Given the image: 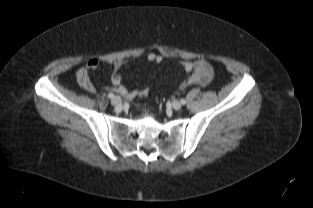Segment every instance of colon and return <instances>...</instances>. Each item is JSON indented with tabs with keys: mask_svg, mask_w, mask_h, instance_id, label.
I'll return each mask as SVG.
<instances>
[{
	"mask_svg": "<svg viewBox=\"0 0 313 208\" xmlns=\"http://www.w3.org/2000/svg\"><path fill=\"white\" fill-rule=\"evenodd\" d=\"M138 94H139L140 97L144 98V97H146L148 95V89H142V90L139 91Z\"/></svg>",
	"mask_w": 313,
	"mask_h": 208,
	"instance_id": "colon-1",
	"label": "colon"
}]
</instances>
